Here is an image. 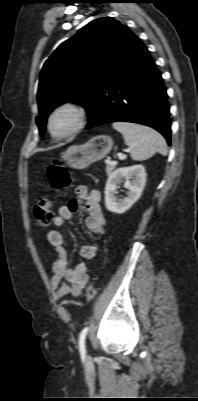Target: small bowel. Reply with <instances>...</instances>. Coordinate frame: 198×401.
I'll list each match as a JSON object with an SVG mask.
<instances>
[{
  "instance_id": "small-bowel-1",
  "label": "small bowel",
  "mask_w": 198,
  "mask_h": 401,
  "mask_svg": "<svg viewBox=\"0 0 198 401\" xmlns=\"http://www.w3.org/2000/svg\"><path fill=\"white\" fill-rule=\"evenodd\" d=\"M76 195L77 198L70 200L59 208L58 214L53 218L54 229L47 234L48 242L56 253L50 285L57 301L67 297H79L89 279L88 269L84 262H80L73 267L70 265L67 250L64 246V236L61 232L65 221L70 220L75 212L84 208L88 214L85 219L88 231L94 235H100L105 229V217L100 205V192L80 185L76 188ZM96 254L97 247L93 244H85L80 248V255L85 260L94 259Z\"/></svg>"
}]
</instances>
